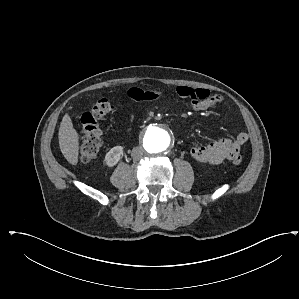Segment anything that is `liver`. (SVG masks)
I'll return each mask as SVG.
<instances>
[{"label": "liver", "instance_id": "1", "mask_svg": "<svg viewBox=\"0 0 299 299\" xmlns=\"http://www.w3.org/2000/svg\"><path fill=\"white\" fill-rule=\"evenodd\" d=\"M60 150L65 159L72 165H77L79 155V136L73 127L72 120L65 114L58 133Z\"/></svg>", "mask_w": 299, "mask_h": 299}]
</instances>
